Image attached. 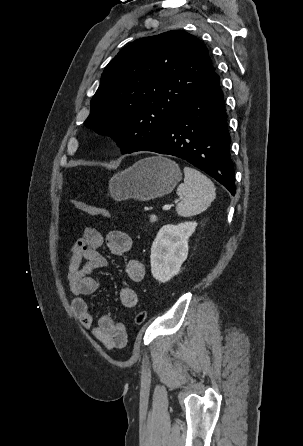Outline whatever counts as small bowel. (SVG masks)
<instances>
[{
	"label": "small bowel",
	"instance_id": "small-bowel-1",
	"mask_svg": "<svg viewBox=\"0 0 303 446\" xmlns=\"http://www.w3.org/2000/svg\"><path fill=\"white\" fill-rule=\"evenodd\" d=\"M106 244L110 252L117 256L127 253L132 247L131 237L124 231L113 230L104 238L94 227H86L73 244L67 258V282L72 293L71 308L81 324L107 349H122L127 345L125 327L111 314H102L95 320L89 310L86 297L94 294L99 287L93 271L105 267L107 259L99 249ZM128 282L120 290V302L127 309L137 305V294L132 284L145 277L143 261L132 258L126 262Z\"/></svg>",
	"mask_w": 303,
	"mask_h": 446
}]
</instances>
